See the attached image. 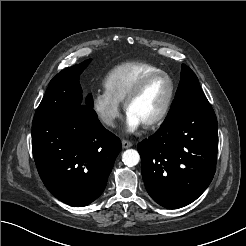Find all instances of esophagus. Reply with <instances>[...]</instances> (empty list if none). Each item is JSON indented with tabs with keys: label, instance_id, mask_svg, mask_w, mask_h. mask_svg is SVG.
<instances>
[{
	"label": "esophagus",
	"instance_id": "34e87169",
	"mask_svg": "<svg viewBox=\"0 0 246 246\" xmlns=\"http://www.w3.org/2000/svg\"><path fill=\"white\" fill-rule=\"evenodd\" d=\"M122 147L124 148V149H127V148H130L133 144H132V142H130V141H127V140H122Z\"/></svg>",
	"mask_w": 246,
	"mask_h": 246
}]
</instances>
